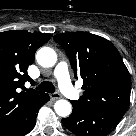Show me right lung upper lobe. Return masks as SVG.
<instances>
[{
	"instance_id": "cb5924a9",
	"label": "right lung upper lobe",
	"mask_w": 136,
	"mask_h": 136,
	"mask_svg": "<svg viewBox=\"0 0 136 136\" xmlns=\"http://www.w3.org/2000/svg\"><path fill=\"white\" fill-rule=\"evenodd\" d=\"M51 34L11 30L0 33V134L19 127L35 103L45 94L36 90L20 91L25 82H33L27 73L36 50Z\"/></svg>"
}]
</instances>
